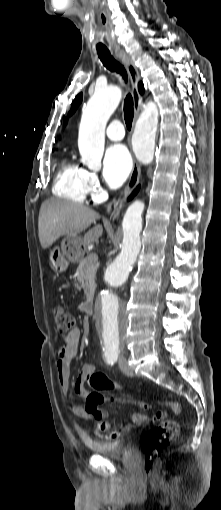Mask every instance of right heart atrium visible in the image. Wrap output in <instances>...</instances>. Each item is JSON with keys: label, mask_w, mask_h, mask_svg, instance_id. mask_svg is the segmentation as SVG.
Returning <instances> with one entry per match:
<instances>
[{"label": "right heart atrium", "mask_w": 221, "mask_h": 510, "mask_svg": "<svg viewBox=\"0 0 221 510\" xmlns=\"http://www.w3.org/2000/svg\"><path fill=\"white\" fill-rule=\"evenodd\" d=\"M84 185L87 194H89L93 199L98 198L101 195L102 188L100 180L95 172L85 170Z\"/></svg>", "instance_id": "obj_1"}]
</instances>
